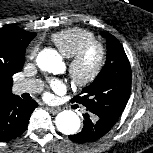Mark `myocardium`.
<instances>
[{
  "label": "myocardium",
  "mask_w": 153,
  "mask_h": 153,
  "mask_svg": "<svg viewBox=\"0 0 153 153\" xmlns=\"http://www.w3.org/2000/svg\"><path fill=\"white\" fill-rule=\"evenodd\" d=\"M92 49H96L98 57L93 69L83 74L81 72V64ZM107 59V50L105 45L94 39L84 43L68 60V73L71 81L78 87H87L94 83L104 69Z\"/></svg>",
  "instance_id": "f54148a6"
}]
</instances>
